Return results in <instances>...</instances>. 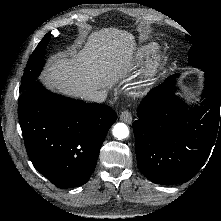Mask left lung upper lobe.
Instances as JSON below:
<instances>
[{
	"mask_svg": "<svg viewBox=\"0 0 221 221\" xmlns=\"http://www.w3.org/2000/svg\"><path fill=\"white\" fill-rule=\"evenodd\" d=\"M186 38L193 44L188 55L189 63L196 68L202 69L204 72H213L211 64L202 48L193 42L189 36H186Z\"/></svg>",
	"mask_w": 221,
	"mask_h": 221,
	"instance_id": "left-lung-upper-lobe-1",
	"label": "left lung upper lobe"
}]
</instances>
